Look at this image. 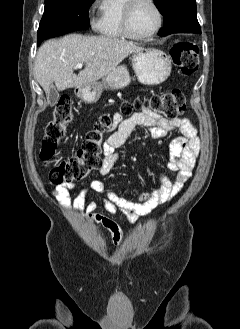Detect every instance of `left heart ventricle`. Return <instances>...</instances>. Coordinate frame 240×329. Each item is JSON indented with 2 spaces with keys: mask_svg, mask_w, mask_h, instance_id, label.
<instances>
[{
  "mask_svg": "<svg viewBox=\"0 0 240 329\" xmlns=\"http://www.w3.org/2000/svg\"><path fill=\"white\" fill-rule=\"evenodd\" d=\"M157 25V14L154 8L145 0L138 2L132 11L130 27L138 35L150 33Z\"/></svg>",
  "mask_w": 240,
  "mask_h": 329,
  "instance_id": "1",
  "label": "left heart ventricle"
}]
</instances>
